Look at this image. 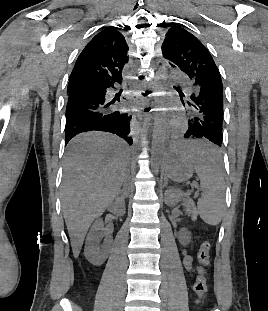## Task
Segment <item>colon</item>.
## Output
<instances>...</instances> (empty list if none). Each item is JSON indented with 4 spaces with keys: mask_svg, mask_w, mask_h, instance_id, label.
<instances>
[{
    "mask_svg": "<svg viewBox=\"0 0 268 311\" xmlns=\"http://www.w3.org/2000/svg\"><path fill=\"white\" fill-rule=\"evenodd\" d=\"M210 250L211 246L208 241H204L198 250V262L199 267L197 270V276L193 286L194 292L197 296L199 302L204 298V295L207 291V282H206V270L205 268L210 263Z\"/></svg>",
    "mask_w": 268,
    "mask_h": 311,
    "instance_id": "1",
    "label": "colon"
}]
</instances>
